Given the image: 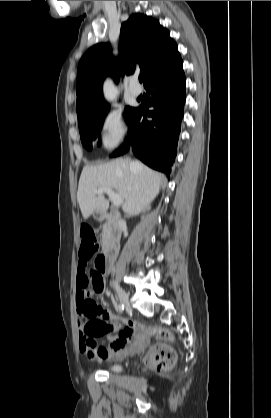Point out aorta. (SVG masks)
Segmentation results:
<instances>
[{"instance_id": "1", "label": "aorta", "mask_w": 271, "mask_h": 418, "mask_svg": "<svg viewBox=\"0 0 271 418\" xmlns=\"http://www.w3.org/2000/svg\"><path fill=\"white\" fill-rule=\"evenodd\" d=\"M105 96L108 100L112 99L113 97V89H112V85L109 81H107L105 83Z\"/></svg>"}]
</instances>
